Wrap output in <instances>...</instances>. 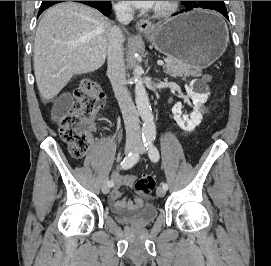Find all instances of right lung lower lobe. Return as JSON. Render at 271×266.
I'll return each instance as SVG.
<instances>
[{
  "instance_id": "right-lung-lower-lobe-1",
  "label": "right lung lower lobe",
  "mask_w": 271,
  "mask_h": 266,
  "mask_svg": "<svg viewBox=\"0 0 271 266\" xmlns=\"http://www.w3.org/2000/svg\"><path fill=\"white\" fill-rule=\"evenodd\" d=\"M59 2H63V1H42L38 15H40L48 7H50L56 3H59ZM76 2H80L83 4L89 5L91 7H94L96 9H98L100 12H102L104 15L110 14V10H111V2L110 1H76Z\"/></svg>"
}]
</instances>
